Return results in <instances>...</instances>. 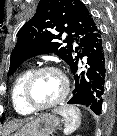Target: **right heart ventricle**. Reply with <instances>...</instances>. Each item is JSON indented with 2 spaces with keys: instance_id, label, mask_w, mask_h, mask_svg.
<instances>
[{
  "instance_id": "obj_1",
  "label": "right heart ventricle",
  "mask_w": 117,
  "mask_h": 136,
  "mask_svg": "<svg viewBox=\"0 0 117 136\" xmlns=\"http://www.w3.org/2000/svg\"><path fill=\"white\" fill-rule=\"evenodd\" d=\"M31 73V70L27 69L22 71L15 78L11 89V102L14 110L22 116L30 115L33 111L25 104L23 99L24 84Z\"/></svg>"
}]
</instances>
